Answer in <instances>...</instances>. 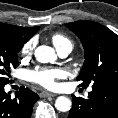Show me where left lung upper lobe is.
Here are the masks:
<instances>
[{
  "label": "left lung upper lobe",
  "instance_id": "1",
  "mask_svg": "<svg viewBox=\"0 0 118 118\" xmlns=\"http://www.w3.org/2000/svg\"><path fill=\"white\" fill-rule=\"evenodd\" d=\"M81 40L85 61L77 80L81 87L118 88V35L105 26L91 21L67 24Z\"/></svg>",
  "mask_w": 118,
  "mask_h": 118
}]
</instances>
